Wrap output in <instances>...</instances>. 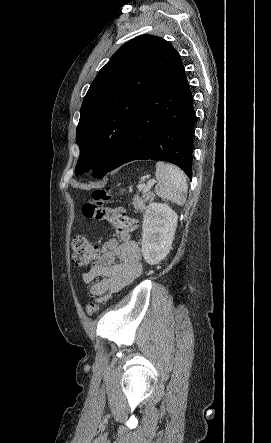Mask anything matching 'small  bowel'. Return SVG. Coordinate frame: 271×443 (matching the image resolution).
<instances>
[{"label":"small bowel","instance_id":"1","mask_svg":"<svg viewBox=\"0 0 271 443\" xmlns=\"http://www.w3.org/2000/svg\"><path fill=\"white\" fill-rule=\"evenodd\" d=\"M102 254L82 281L90 285L89 291L97 303H104L120 292L142 271L141 251L134 241L119 242L111 238L102 245Z\"/></svg>","mask_w":271,"mask_h":443}]
</instances>
